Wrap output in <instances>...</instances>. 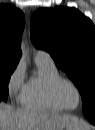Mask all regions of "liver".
<instances>
[{
    "mask_svg": "<svg viewBox=\"0 0 95 130\" xmlns=\"http://www.w3.org/2000/svg\"><path fill=\"white\" fill-rule=\"evenodd\" d=\"M70 124H81L84 130L89 126L68 114L57 112L14 109L9 105L0 107V130H63Z\"/></svg>",
    "mask_w": 95,
    "mask_h": 130,
    "instance_id": "liver-1",
    "label": "liver"
}]
</instances>
